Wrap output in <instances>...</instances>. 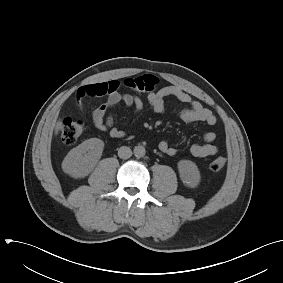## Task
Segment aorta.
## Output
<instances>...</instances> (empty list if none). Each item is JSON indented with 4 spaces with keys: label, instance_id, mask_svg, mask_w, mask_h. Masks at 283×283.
Segmentation results:
<instances>
[{
    "label": "aorta",
    "instance_id": "obj_1",
    "mask_svg": "<svg viewBox=\"0 0 283 283\" xmlns=\"http://www.w3.org/2000/svg\"><path fill=\"white\" fill-rule=\"evenodd\" d=\"M146 154V150L143 146H135L134 148V155L135 157L137 158H141V157H144Z\"/></svg>",
    "mask_w": 283,
    "mask_h": 283
}]
</instances>
